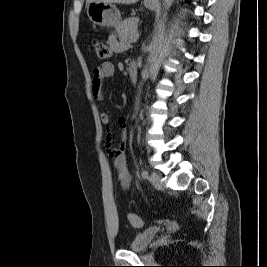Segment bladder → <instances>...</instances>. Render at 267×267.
I'll list each match as a JSON object with an SVG mask.
<instances>
[{
    "label": "bladder",
    "mask_w": 267,
    "mask_h": 267,
    "mask_svg": "<svg viewBox=\"0 0 267 267\" xmlns=\"http://www.w3.org/2000/svg\"><path fill=\"white\" fill-rule=\"evenodd\" d=\"M159 232V227H149L137 233L128 245L132 251L140 252L146 250Z\"/></svg>",
    "instance_id": "1"
}]
</instances>
